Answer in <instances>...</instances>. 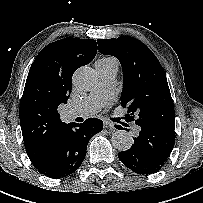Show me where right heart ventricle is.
<instances>
[{"label":"right heart ventricle","mask_w":203,"mask_h":203,"mask_svg":"<svg viewBox=\"0 0 203 203\" xmlns=\"http://www.w3.org/2000/svg\"><path fill=\"white\" fill-rule=\"evenodd\" d=\"M97 64H100L104 67L115 69L116 71L118 70V63L116 59L113 57H103L97 61Z\"/></svg>","instance_id":"right-heart-ventricle-1"}]
</instances>
